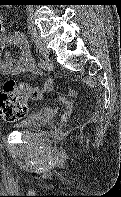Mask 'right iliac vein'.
<instances>
[{
    "label": "right iliac vein",
    "instance_id": "obj_1",
    "mask_svg": "<svg viewBox=\"0 0 121 197\" xmlns=\"http://www.w3.org/2000/svg\"><path fill=\"white\" fill-rule=\"evenodd\" d=\"M30 34L37 46V49L41 53V55L46 59V61H49V51L46 47L45 42L43 41L39 32L37 31V29L35 27H31Z\"/></svg>",
    "mask_w": 121,
    "mask_h": 197
}]
</instances>
